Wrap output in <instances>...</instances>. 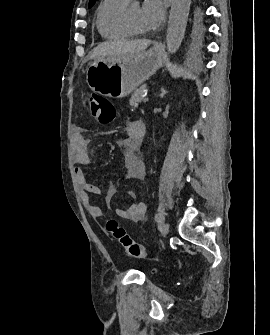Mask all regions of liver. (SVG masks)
<instances>
[{
  "instance_id": "liver-1",
  "label": "liver",
  "mask_w": 270,
  "mask_h": 335,
  "mask_svg": "<svg viewBox=\"0 0 270 335\" xmlns=\"http://www.w3.org/2000/svg\"><path fill=\"white\" fill-rule=\"evenodd\" d=\"M151 44V40H134V42H125V44H112V42H103L97 48L90 52V58H105V56H126V54H138L144 52Z\"/></svg>"
}]
</instances>
